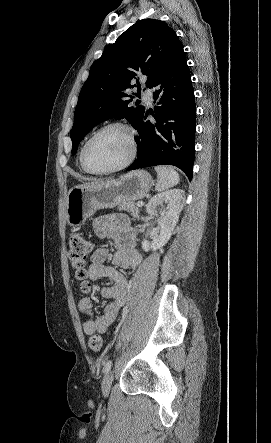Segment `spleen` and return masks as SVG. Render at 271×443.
<instances>
[{
    "instance_id": "spleen-1",
    "label": "spleen",
    "mask_w": 271,
    "mask_h": 443,
    "mask_svg": "<svg viewBox=\"0 0 271 443\" xmlns=\"http://www.w3.org/2000/svg\"><path fill=\"white\" fill-rule=\"evenodd\" d=\"M155 170L157 172V184L155 186L157 192L169 190V188L179 184V174H177L174 168H170V166H157Z\"/></svg>"
}]
</instances>
